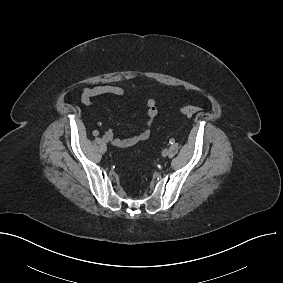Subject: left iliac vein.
<instances>
[{
    "mask_svg": "<svg viewBox=\"0 0 283 283\" xmlns=\"http://www.w3.org/2000/svg\"><path fill=\"white\" fill-rule=\"evenodd\" d=\"M169 154V150L168 149H164L162 151V157H166Z\"/></svg>",
    "mask_w": 283,
    "mask_h": 283,
    "instance_id": "obj_1",
    "label": "left iliac vein"
}]
</instances>
